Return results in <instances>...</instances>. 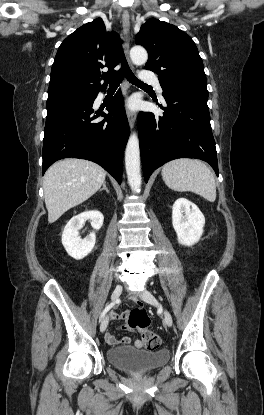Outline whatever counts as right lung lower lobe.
<instances>
[{
	"label": "right lung lower lobe",
	"mask_w": 264,
	"mask_h": 415,
	"mask_svg": "<svg viewBox=\"0 0 264 415\" xmlns=\"http://www.w3.org/2000/svg\"><path fill=\"white\" fill-rule=\"evenodd\" d=\"M97 94L47 105L43 174L55 161L73 157L99 164L121 184L123 153L129 137L121 93L108 104L109 114L103 113L102 121L96 120L101 113L92 109Z\"/></svg>",
	"instance_id": "obj_1"
}]
</instances>
